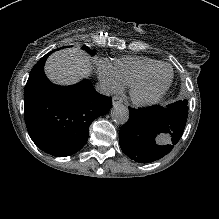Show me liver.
I'll return each mask as SVG.
<instances>
[{"instance_id":"obj_1","label":"liver","mask_w":219,"mask_h":219,"mask_svg":"<svg viewBox=\"0 0 219 219\" xmlns=\"http://www.w3.org/2000/svg\"><path fill=\"white\" fill-rule=\"evenodd\" d=\"M91 61L92 59L81 50H60L48 58L45 73L56 84H75L89 75L92 68Z\"/></svg>"}]
</instances>
